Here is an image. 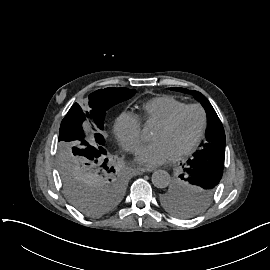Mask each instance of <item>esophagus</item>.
I'll return each mask as SVG.
<instances>
[{
	"label": "esophagus",
	"instance_id": "obj_1",
	"mask_svg": "<svg viewBox=\"0 0 270 270\" xmlns=\"http://www.w3.org/2000/svg\"><path fill=\"white\" fill-rule=\"evenodd\" d=\"M139 170L141 172H152L155 170V168L153 166H145V167L139 168Z\"/></svg>",
	"mask_w": 270,
	"mask_h": 270
}]
</instances>
